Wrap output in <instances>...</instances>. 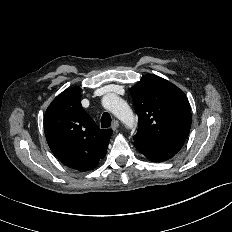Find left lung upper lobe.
<instances>
[{
  "label": "left lung upper lobe",
  "instance_id": "left-lung-upper-lobe-1",
  "mask_svg": "<svg viewBox=\"0 0 232 232\" xmlns=\"http://www.w3.org/2000/svg\"><path fill=\"white\" fill-rule=\"evenodd\" d=\"M139 125L134 141L143 144L184 143L191 127L186 95L171 82L149 74L129 89Z\"/></svg>",
  "mask_w": 232,
  "mask_h": 232
}]
</instances>
